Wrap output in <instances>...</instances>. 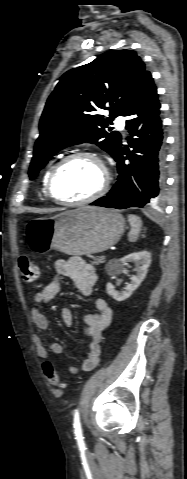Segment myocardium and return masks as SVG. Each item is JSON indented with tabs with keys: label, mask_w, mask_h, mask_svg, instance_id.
Masks as SVG:
<instances>
[{
	"label": "myocardium",
	"mask_w": 187,
	"mask_h": 479,
	"mask_svg": "<svg viewBox=\"0 0 187 479\" xmlns=\"http://www.w3.org/2000/svg\"><path fill=\"white\" fill-rule=\"evenodd\" d=\"M78 158L91 159V160L95 161L101 167V169L103 171L102 183H101L100 187L93 194H91L90 196H88L86 198L78 199V200L60 199L59 197H57V195L54 192V180H55L58 172L67 163H69L72 160L78 159ZM109 185H110V173H109L107 167L105 166L104 162L101 160V158L93 152L81 150V151L73 152V153L63 157L52 167V169H51V171L48 175V178H47L45 191H46L47 197L50 200H52V201H54L58 204H62V205H66V206H78V205H84V204L92 203V202L98 200L99 198H101L107 192V190L109 188Z\"/></svg>",
	"instance_id": "1"
}]
</instances>
